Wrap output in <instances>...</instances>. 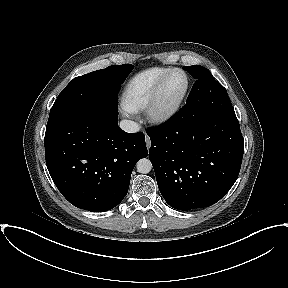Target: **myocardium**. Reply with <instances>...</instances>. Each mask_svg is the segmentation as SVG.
Wrapping results in <instances>:
<instances>
[{
  "instance_id": "obj_1",
  "label": "myocardium",
  "mask_w": 288,
  "mask_h": 288,
  "mask_svg": "<svg viewBox=\"0 0 288 288\" xmlns=\"http://www.w3.org/2000/svg\"><path fill=\"white\" fill-rule=\"evenodd\" d=\"M180 72L185 78V86L177 101L169 108L163 109L160 106L161 94L164 84L168 77L174 73ZM189 89V78L187 73L181 68H170L165 72L155 85L151 100L146 108V113L149 120L156 124H162L174 117L179 111Z\"/></svg>"
}]
</instances>
